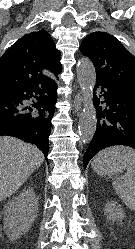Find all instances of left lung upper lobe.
I'll list each match as a JSON object with an SVG mask.
<instances>
[{"label":"left lung upper lobe","mask_w":135,"mask_h":249,"mask_svg":"<svg viewBox=\"0 0 135 249\" xmlns=\"http://www.w3.org/2000/svg\"><path fill=\"white\" fill-rule=\"evenodd\" d=\"M80 51L93 62L96 82L135 92V58L114 36L93 32L82 41Z\"/></svg>","instance_id":"5c2ea615"}]
</instances>
